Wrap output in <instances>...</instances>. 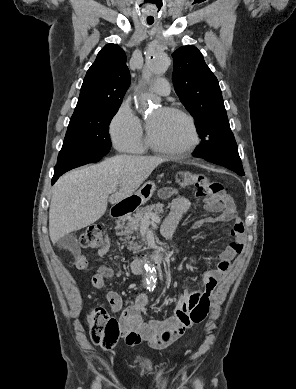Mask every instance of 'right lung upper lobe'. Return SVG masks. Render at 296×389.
I'll return each instance as SVG.
<instances>
[{"label":"right lung upper lobe","mask_w":296,"mask_h":389,"mask_svg":"<svg viewBox=\"0 0 296 389\" xmlns=\"http://www.w3.org/2000/svg\"><path fill=\"white\" fill-rule=\"evenodd\" d=\"M130 81L123 49L116 44L105 45L87 71L71 120L93 110L120 106Z\"/></svg>","instance_id":"obj_1"}]
</instances>
